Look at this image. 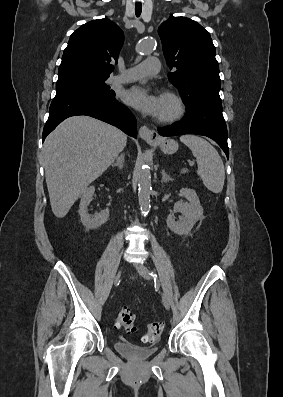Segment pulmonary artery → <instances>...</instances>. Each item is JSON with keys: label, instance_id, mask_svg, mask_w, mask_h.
Wrapping results in <instances>:
<instances>
[{"label": "pulmonary artery", "instance_id": "1", "mask_svg": "<svg viewBox=\"0 0 283 397\" xmlns=\"http://www.w3.org/2000/svg\"><path fill=\"white\" fill-rule=\"evenodd\" d=\"M160 63L156 57H148L137 66L131 67L124 73L114 76L111 81L115 83H125L139 80L145 76H152L159 72Z\"/></svg>", "mask_w": 283, "mask_h": 397}]
</instances>
